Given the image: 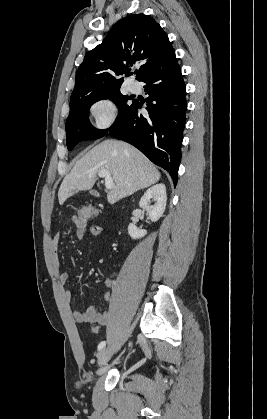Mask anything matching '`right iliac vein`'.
Wrapping results in <instances>:
<instances>
[{
    "label": "right iliac vein",
    "mask_w": 267,
    "mask_h": 419,
    "mask_svg": "<svg viewBox=\"0 0 267 419\" xmlns=\"http://www.w3.org/2000/svg\"><path fill=\"white\" fill-rule=\"evenodd\" d=\"M113 352H114L113 347H107V348L102 349L98 354V361H97L98 366H102L106 364L111 358V356L113 355Z\"/></svg>",
    "instance_id": "63e3f726"
}]
</instances>
